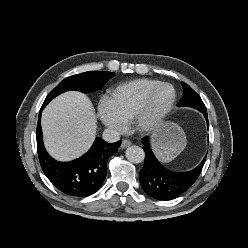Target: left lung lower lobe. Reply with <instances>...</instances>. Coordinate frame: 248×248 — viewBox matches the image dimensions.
<instances>
[{
	"label": "left lung lower lobe",
	"instance_id": "obj_1",
	"mask_svg": "<svg viewBox=\"0 0 248 248\" xmlns=\"http://www.w3.org/2000/svg\"><path fill=\"white\" fill-rule=\"evenodd\" d=\"M208 124L207 110H200ZM145 161L139 173L140 183L146 194L158 200H169L187 191L199 177L205 163L203 161L188 172H172L163 167L153 154L148 137L142 139Z\"/></svg>",
	"mask_w": 248,
	"mask_h": 248
}]
</instances>
